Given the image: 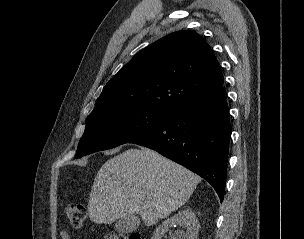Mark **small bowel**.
<instances>
[{"mask_svg": "<svg viewBox=\"0 0 304 239\" xmlns=\"http://www.w3.org/2000/svg\"><path fill=\"white\" fill-rule=\"evenodd\" d=\"M60 237L62 239H72L69 232L67 230H64V229L60 230Z\"/></svg>", "mask_w": 304, "mask_h": 239, "instance_id": "c3829d8e", "label": "small bowel"}]
</instances>
